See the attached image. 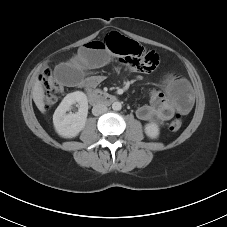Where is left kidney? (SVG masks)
<instances>
[{
	"label": "left kidney",
	"mask_w": 227,
	"mask_h": 227,
	"mask_svg": "<svg viewBox=\"0 0 227 227\" xmlns=\"http://www.w3.org/2000/svg\"><path fill=\"white\" fill-rule=\"evenodd\" d=\"M145 133L148 137L156 139L159 136V127L155 123H149L145 125Z\"/></svg>",
	"instance_id": "5707ae66"
}]
</instances>
